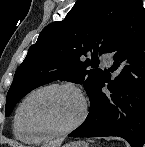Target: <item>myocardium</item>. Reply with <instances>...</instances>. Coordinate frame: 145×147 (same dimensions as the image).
<instances>
[{
	"label": "myocardium",
	"mask_w": 145,
	"mask_h": 147,
	"mask_svg": "<svg viewBox=\"0 0 145 147\" xmlns=\"http://www.w3.org/2000/svg\"><path fill=\"white\" fill-rule=\"evenodd\" d=\"M52 89H66V90H70L73 93H75L81 103V111H80L79 116L72 124H70L69 126L63 128L61 130L48 131V132H38V133L30 132L29 130H27L24 127L23 122H22V112H23V109H24L26 103L34 95L41 93L43 91L52 90ZM87 115H88V102H87L86 96L84 95L83 91L79 87H77L76 85L71 84V83H51V84L39 87V88L31 91L28 95H26L24 97V99L21 101V103L17 109L15 119H16V123L21 131L30 134L36 140H43V139L57 138V137L64 136V135H67V134L73 132L79 126H81L83 124Z\"/></svg>",
	"instance_id": "1"
}]
</instances>
